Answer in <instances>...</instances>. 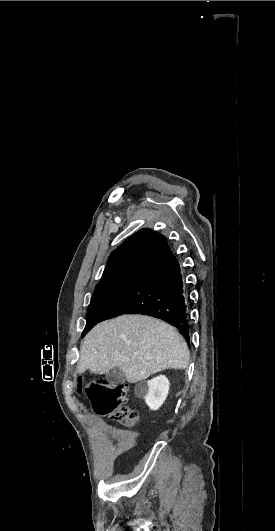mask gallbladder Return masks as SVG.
I'll use <instances>...</instances> for the list:
<instances>
[{
  "label": "gallbladder",
  "instance_id": "1",
  "mask_svg": "<svg viewBox=\"0 0 275 531\" xmlns=\"http://www.w3.org/2000/svg\"><path fill=\"white\" fill-rule=\"evenodd\" d=\"M106 381L112 385H123L126 381L125 373L119 367H113L106 375Z\"/></svg>",
  "mask_w": 275,
  "mask_h": 531
}]
</instances>
